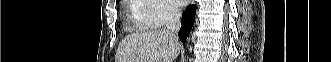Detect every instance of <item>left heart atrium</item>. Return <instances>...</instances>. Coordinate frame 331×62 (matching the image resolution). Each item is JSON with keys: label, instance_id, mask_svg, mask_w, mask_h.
<instances>
[{"label": "left heart atrium", "instance_id": "39dd6f15", "mask_svg": "<svg viewBox=\"0 0 331 62\" xmlns=\"http://www.w3.org/2000/svg\"><path fill=\"white\" fill-rule=\"evenodd\" d=\"M174 2L178 5H184L186 3V0H175Z\"/></svg>", "mask_w": 331, "mask_h": 62}]
</instances>
